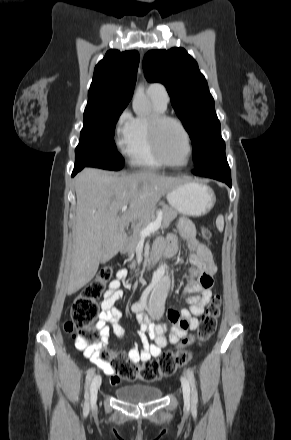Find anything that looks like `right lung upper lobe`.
I'll return each mask as SVG.
<instances>
[{
	"mask_svg": "<svg viewBox=\"0 0 291 440\" xmlns=\"http://www.w3.org/2000/svg\"><path fill=\"white\" fill-rule=\"evenodd\" d=\"M139 65L136 50H110L96 65L88 91V103H117L127 105L132 98Z\"/></svg>",
	"mask_w": 291,
	"mask_h": 440,
	"instance_id": "cb5924a9",
	"label": "right lung upper lobe"
}]
</instances>
